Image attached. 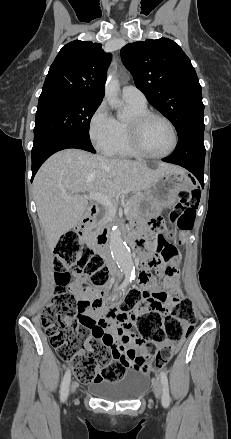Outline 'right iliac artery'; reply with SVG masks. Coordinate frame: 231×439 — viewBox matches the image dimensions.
Instances as JSON below:
<instances>
[{"instance_id": "1", "label": "right iliac artery", "mask_w": 231, "mask_h": 439, "mask_svg": "<svg viewBox=\"0 0 231 439\" xmlns=\"http://www.w3.org/2000/svg\"><path fill=\"white\" fill-rule=\"evenodd\" d=\"M128 283H129V280L126 279L119 287V290L120 289L124 290V288L128 285ZM70 380H71V373H70V370L68 369L64 375V378H63V381L61 384L60 396H61L62 401H65L67 399L68 392H69Z\"/></svg>"}]
</instances>
